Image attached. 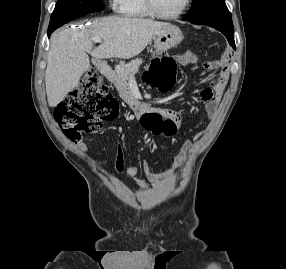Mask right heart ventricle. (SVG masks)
<instances>
[{"label":"right heart ventricle","instance_id":"obj_1","mask_svg":"<svg viewBox=\"0 0 286 269\" xmlns=\"http://www.w3.org/2000/svg\"><path fill=\"white\" fill-rule=\"evenodd\" d=\"M117 10L126 18L143 19L149 17L143 0H119Z\"/></svg>","mask_w":286,"mask_h":269}]
</instances>
